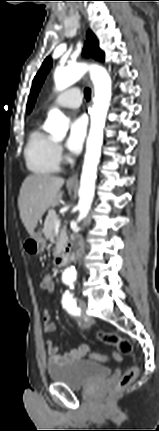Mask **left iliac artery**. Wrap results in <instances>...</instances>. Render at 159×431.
<instances>
[{"instance_id":"1","label":"left iliac artery","mask_w":159,"mask_h":431,"mask_svg":"<svg viewBox=\"0 0 159 431\" xmlns=\"http://www.w3.org/2000/svg\"><path fill=\"white\" fill-rule=\"evenodd\" d=\"M63 307L72 315H80V308L76 305V299L73 294L66 292L62 298Z\"/></svg>"}]
</instances>
